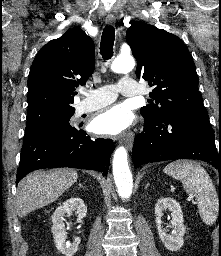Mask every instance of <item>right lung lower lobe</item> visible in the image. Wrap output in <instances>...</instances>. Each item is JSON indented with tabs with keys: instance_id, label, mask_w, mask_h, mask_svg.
<instances>
[{
	"instance_id": "right-lung-lower-lobe-1",
	"label": "right lung lower lobe",
	"mask_w": 221,
	"mask_h": 256,
	"mask_svg": "<svg viewBox=\"0 0 221 256\" xmlns=\"http://www.w3.org/2000/svg\"><path fill=\"white\" fill-rule=\"evenodd\" d=\"M115 146L111 139H91L69 120L49 123L24 135L17 181L43 168L72 167L107 175Z\"/></svg>"
}]
</instances>
